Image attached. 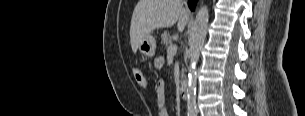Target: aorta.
Listing matches in <instances>:
<instances>
[{
    "mask_svg": "<svg viewBox=\"0 0 305 116\" xmlns=\"http://www.w3.org/2000/svg\"><path fill=\"white\" fill-rule=\"evenodd\" d=\"M208 8L206 5L200 7L190 32V66L187 81V106L190 114L196 112V65L199 60L200 50L205 42L208 28Z\"/></svg>",
    "mask_w": 305,
    "mask_h": 116,
    "instance_id": "762f6f07",
    "label": "aorta"
}]
</instances>
